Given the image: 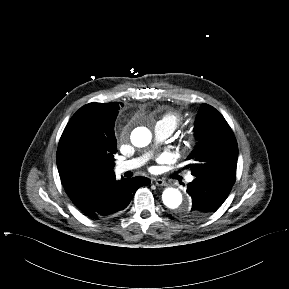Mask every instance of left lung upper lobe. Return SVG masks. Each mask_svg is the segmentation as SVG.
<instances>
[{"label": "left lung upper lobe", "mask_w": 289, "mask_h": 289, "mask_svg": "<svg viewBox=\"0 0 289 289\" xmlns=\"http://www.w3.org/2000/svg\"><path fill=\"white\" fill-rule=\"evenodd\" d=\"M198 143L188 156L195 177H207L234 184L238 157L235 136L224 117L212 106L202 104L195 121Z\"/></svg>", "instance_id": "obj_1"}]
</instances>
